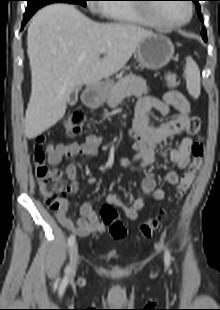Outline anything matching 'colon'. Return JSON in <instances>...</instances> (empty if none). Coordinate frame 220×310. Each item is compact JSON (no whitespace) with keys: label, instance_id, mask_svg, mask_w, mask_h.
<instances>
[{"label":"colon","instance_id":"colon-1","mask_svg":"<svg viewBox=\"0 0 220 310\" xmlns=\"http://www.w3.org/2000/svg\"><path fill=\"white\" fill-rule=\"evenodd\" d=\"M164 81L170 87L180 85V79L173 70H166ZM84 125V115L75 111L67 115L62 121V127L68 136H76ZM46 140L45 135H38L35 138L33 147V158L35 162V174L38 188L43 196L44 203L51 210H58L67 192V187L62 179V171L45 163V153L43 144ZM204 139L199 136L191 147L192 159L187 169L181 175L175 189V198L182 197L191 187L197 172L202 166L204 156ZM101 221L110 227V235L114 239H122L126 236V229L118 218L116 209L105 204L100 209ZM161 227V216L153 217L139 226V233L143 238H150Z\"/></svg>","mask_w":220,"mask_h":310}]
</instances>
